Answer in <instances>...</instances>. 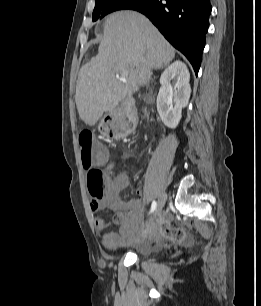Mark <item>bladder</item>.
I'll return each mask as SVG.
<instances>
[{
  "instance_id": "1",
  "label": "bladder",
  "mask_w": 261,
  "mask_h": 306,
  "mask_svg": "<svg viewBox=\"0 0 261 306\" xmlns=\"http://www.w3.org/2000/svg\"><path fill=\"white\" fill-rule=\"evenodd\" d=\"M152 255V250L146 244H140L138 248V256L149 258Z\"/></svg>"
}]
</instances>
